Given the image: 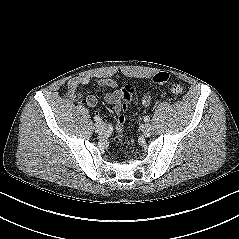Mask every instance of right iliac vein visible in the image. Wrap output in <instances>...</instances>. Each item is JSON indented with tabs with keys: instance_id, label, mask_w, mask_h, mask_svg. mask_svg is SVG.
I'll list each match as a JSON object with an SVG mask.
<instances>
[{
	"instance_id": "obj_1",
	"label": "right iliac vein",
	"mask_w": 239,
	"mask_h": 239,
	"mask_svg": "<svg viewBox=\"0 0 239 239\" xmlns=\"http://www.w3.org/2000/svg\"><path fill=\"white\" fill-rule=\"evenodd\" d=\"M95 130L99 135H103L105 134L106 130H107V126L104 123H96L95 124Z\"/></svg>"
}]
</instances>
